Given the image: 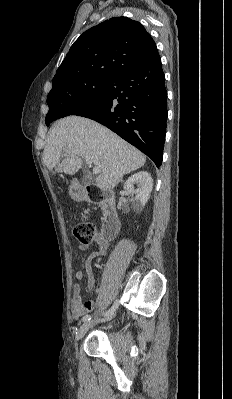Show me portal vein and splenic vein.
Listing matches in <instances>:
<instances>
[{"label":"portal vein and splenic vein","instance_id":"18ae733b","mask_svg":"<svg viewBox=\"0 0 232 399\" xmlns=\"http://www.w3.org/2000/svg\"><path fill=\"white\" fill-rule=\"evenodd\" d=\"M85 164L92 166V162H90V160H85ZM93 174H100V170H98V168H93Z\"/></svg>","mask_w":232,"mask_h":399}]
</instances>
